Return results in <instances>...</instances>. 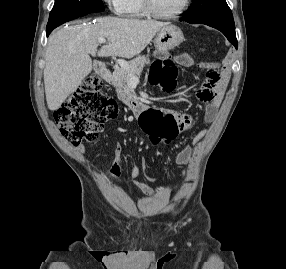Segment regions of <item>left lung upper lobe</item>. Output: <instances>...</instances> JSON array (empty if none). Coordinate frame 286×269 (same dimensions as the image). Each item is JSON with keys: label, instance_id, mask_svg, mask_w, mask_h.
I'll use <instances>...</instances> for the list:
<instances>
[{"label": "left lung upper lobe", "instance_id": "left-lung-upper-lobe-1", "mask_svg": "<svg viewBox=\"0 0 286 269\" xmlns=\"http://www.w3.org/2000/svg\"><path fill=\"white\" fill-rule=\"evenodd\" d=\"M187 14L181 18L188 23H213L235 27L233 15L226 0H192Z\"/></svg>", "mask_w": 286, "mask_h": 269}]
</instances>
